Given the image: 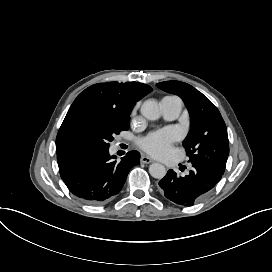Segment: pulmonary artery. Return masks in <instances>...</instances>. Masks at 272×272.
Instances as JSON below:
<instances>
[{"label":"pulmonary artery","mask_w":272,"mask_h":272,"mask_svg":"<svg viewBox=\"0 0 272 272\" xmlns=\"http://www.w3.org/2000/svg\"><path fill=\"white\" fill-rule=\"evenodd\" d=\"M160 106L162 108V114L164 119L167 121H173L177 119L180 115L183 108V103L182 100L177 96H167L161 100ZM117 146L118 144H115L113 146V150H115ZM184 170L186 172H189L191 170V167L189 165H186L184 167Z\"/></svg>","instance_id":"1"}]
</instances>
